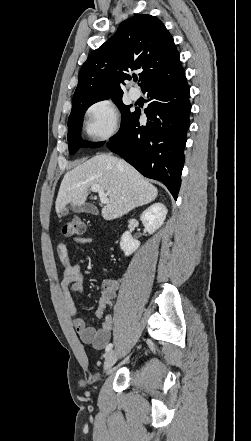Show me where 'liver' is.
I'll return each mask as SVG.
<instances>
[{"mask_svg":"<svg viewBox=\"0 0 251 441\" xmlns=\"http://www.w3.org/2000/svg\"><path fill=\"white\" fill-rule=\"evenodd\" d=\"M100 185L109 202L102 209L105 220H113L155 200L158 190L130 164L100 154L68 171L61 182L55 209L58 217L67 204L83 205L89 188Z\"/></svg>","mask_w":251,"mask_h":441,"instance_id":"6515ba94","label":"liver"}]
</instances>
